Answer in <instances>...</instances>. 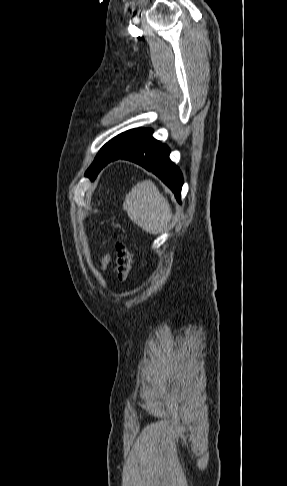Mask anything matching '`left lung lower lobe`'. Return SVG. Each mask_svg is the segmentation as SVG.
I'll return each mask as SVG.
<instances>
[{
  "label": "left lung lower lobe",
  "instance_id": "left-lung-lower-lobe-1",
  "mask_svg": "<svg viewBox=\"0 0 287 486\" xmlns=\"http://www.w3.org/2000/svg\"><path fill=\"white\" fill-rule=\"evenodd\" d=\"M169 153L166 145L151 136L140 149L105 161L100 170L109 162L117 159L135 162L157 175L173 191L180 202L183 178L179 168L169 159Z\"/></svg>",
  "mask_w": 287,
  "mask_h": 486
}]
</instances>
